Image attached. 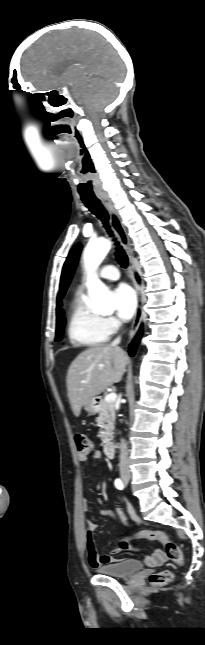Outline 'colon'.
I'll list each match as a JSON object with an SVG mask.
<instances>
[{
	"label": "colon",
	"instance_id": "1",
	"mask_svg": "<svg viewBox=\"0 0 205 645\" xmlns=\"http://www.w3.org/2000/svg\"><path fill=\"white\" fill-rule=\"evenodd\" d=\"M75 443L77 446L78 453L80 455L87 456L91 454L94 450L93 440L86 435H83V434L76 435ZM138 538L160 541L164 545L166 556L168 557V559H170L171 561L179 565L183 563L184 555H183L182 549L165 533L160 531H143L138 534ZM119 549L120 550L130 549V544L127 539H123L119 542ZM149 579L152 585L163 586L170 583L173 580V573L168 570H165V571L153 573Z\"/></svg>",
	"mask_w": 205,
	"mask_h": 645
}]
</instances>
